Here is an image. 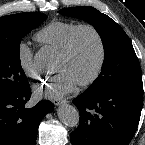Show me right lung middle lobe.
<instances>
[{
	"mask_svg": "<svg viewBox=\"0 0 145 145\" xmlns=\"http://www.w3.org/2000/svg\"><path fill=\"white\" fill-rule=\"evenodd\" d=\"M46 18L30 12L0 18V94L18 93L29 85L21 67L20 42Z\"/></svg>",
	"mask_w": 145,
	"mask_h": 145,
	"instance_id": "obj_1",
	"label": "right lung middle lobe"
}]
</instances>
